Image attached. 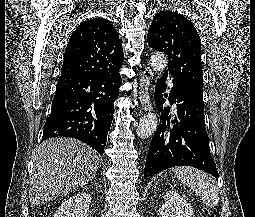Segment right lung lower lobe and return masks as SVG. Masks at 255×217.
<instances>
[{"label":"right lung lower lobe","instance_id":"right-lung-lower-lobe-1","mask_svg":"<svg viewBox=\"0 0 255 217\" xmlns=\"http://www.w3.org/2000/svg\"><path fill=\"white\" fill-rule=\"evenodd\" d=\"M121 83L119 71L108 75L60 76L42 141L72 137L102 155Z\"/></svg>","mask_w":255,"mask_h":217}]
</instances>
